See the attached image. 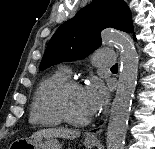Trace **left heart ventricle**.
I'll use <instances>...</instances> for the list:
<instances>
[{
  "instance_id": "1",
  "label": "left heart ventricle",
  "mask_w": 155,
  "mask_h": 149,
  "mask_svg": "<svg viewBox=\"0 0 155 149\" xmlns=\"http://www.w3.org/2000/svg\"><path fill=\"white\" fill-rule=\"evenodd\" d=\"M65 104L69 114L73 118L81 120L90 117L83 98L82 88L69 90L65 97Z\"/></svg>"
}]
</instances>
